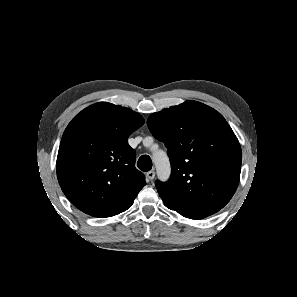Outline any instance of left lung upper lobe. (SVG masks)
Returning a JSON list of instances; mask_svg holds the SVG:
<instances>
[{
  "mask_svg": "<svg viewBox=\"0 0 297 297\" xmlns=\"http://www.w3.org/2000/svg\"><path fill=\"white\" fill-rule=\"evenodd\" d=\"M147 124L171 162L169 181L156 182L165 205L196 220L223 208L237 189L242 161L239 141L224 117L190 100L151 114Z\"/></svg>",
  "mask_w": 297,
  "mask_h": 297,
  "instance_id": "5c2ea615",
  "label": "left lung upper lobe"
}]
</instances>
